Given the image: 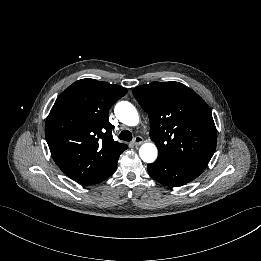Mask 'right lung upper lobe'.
<instances>
[{
	"instance_id": "right-lung-upper-lobe-1",
	"label": "right lung upper lobe",
	"mask_w": 261,
	"mask_h": 261,
	"mask_svg": "<svg viewBox=\"0 0 261 261\" xmlns=\"http://www.w3.org/2000/svg\"><path fill=\"white\" fill-rule=\"evenodd\" d=\"M127 90L83 79L56 101L46 121V137L56 164L72 179L86 183L102 176L127 148L113 138L110 108Z\"/></svg>"
}]
</instances>
